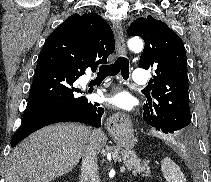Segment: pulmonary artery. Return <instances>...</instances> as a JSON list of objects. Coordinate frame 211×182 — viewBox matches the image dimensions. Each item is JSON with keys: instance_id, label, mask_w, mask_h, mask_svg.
<instances>
[{"instance_id": "obj_1", "label": "pulmonary artery", "mask_w": 211, "mask_h": 182, "mask_svg": "<svg viewBox=\"0 0 211 182\" xmlns=\"http://www.w3.org/2000/svg\"><path fill=\"white\" fill-rule=\"evenodd\" d=\"M132 78H133V81L139 85H144L147 82V74L141 68H137L134 70Z\"/></svg>"}]
</instances>
